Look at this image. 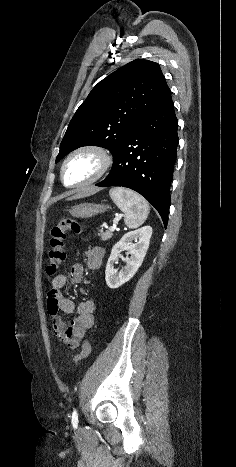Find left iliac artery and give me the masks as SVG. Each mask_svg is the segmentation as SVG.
Here are the masks:
<instances>
[{
	"instance_id": "1",
	"label": "left iliac artery",
	"mask_w": 236,
	"mask_h": 467,
	"mask_svg": "<svg viewBox=\"0 0 236 467\" xmlns=\"http://www.w3.org/2000/svg\"><path fill=\"white\" fill-rule=\"evenodd\" d=\"M72 425L73 427H77L78 425V414L76 410H74L72 413Z\"/></svg>"
}]
</instances>
